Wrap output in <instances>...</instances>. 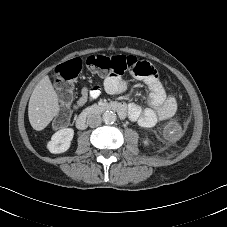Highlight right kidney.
<instances>
[{
    "mask_svg": "<svg viewBox=\"0 0 227 227\" xmlns=\"http://www.w3.org/2000/svg\"><path fill=\"white\" fill-rule=\"evenodd\" d=\"M73 136L74 130L72 128L57 131L52 135L51 140L47 144L48 150L54 154L66 152L70 148Z\"/></svg>",
    "mask_w": 227,
    "mask_h": 227,
    "instance_id": "ca27d5eb",
    "label": "right kidney"
}]
</instances>
